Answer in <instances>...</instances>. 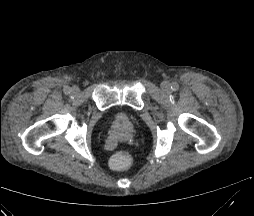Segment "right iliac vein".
Wrapping results in <instances>:
<instances>
[{
  "label": "right iliac vein",
  "mask_w": 254,
  "mask_h": 216,
  "mask_svg": "<svg viewBox=\"0 0 254 216\" xmlns=\"http://www.w3.org/2000/svg\"><path fill=\"white\" fill-rule=\"evenodd\" d=\"M71 92L73 95H78L80 90L77 86H74L72 89H71Z\"/></svg>",
  "instance_id": "1"
}]
</instances>
